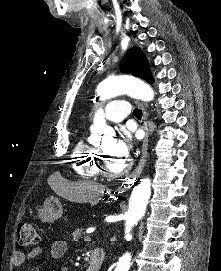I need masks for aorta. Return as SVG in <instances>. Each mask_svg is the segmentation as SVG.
Returning a JSON list of instances; mask_svg holds the SVG:
<instances>
[{
	"instance_id": "762f6f07",
	"label": "aorta",
	"mask_w": 221,
	"mask_h": 271,
	"mask_svg": "<svg viewBox=\"0 0 221 271\" xmlns=\"http://www.w3.org/2000/svg\"><path fill=\"white\" fill-rule=\"evenodd\" d=\"M121 94H128L143 101H151L154 98V92L149 85L126 76L108 78L97 87V95L101 100L110 99ZM92 130L98 133L112 131L105 123L103 109L97 111ZM150 195L151 181L149 178H143L133 188L130 196L125 222L126 237L130 236L132 227L144 216ZM130 265L131 254L126 252L119 258L115 271H128Z\"/></svg>"
}]
</instances>
